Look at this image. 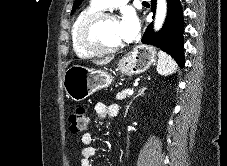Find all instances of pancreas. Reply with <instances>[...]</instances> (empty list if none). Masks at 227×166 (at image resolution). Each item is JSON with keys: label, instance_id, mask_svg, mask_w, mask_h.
Listing matches in <instances>:
<instances>
[{"label": "pancreas", "instance_id": "obj_1", "mask_svg": "<svg viewBox=\"0 0 227 166\" xmlns=\"http://www.w3.org/2000/svg\"><path fill=\"white\" fill-rule=\"evenodd\" d=\"M129 91V89H125L119 93H117L116 95V99L117 100H122V99H125L128 95H127V92Z\"/></svg>", "mask_w": 227, "mask_h": 166}]
</instances>
